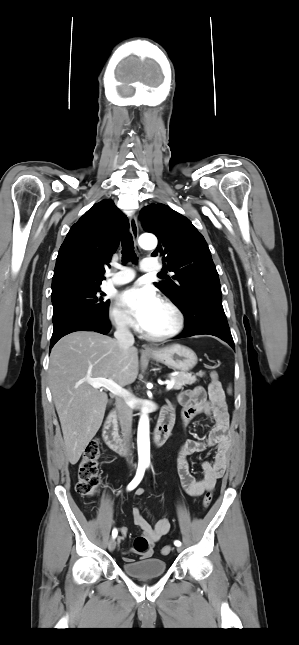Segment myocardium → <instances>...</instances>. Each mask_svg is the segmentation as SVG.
Segmentation results:
<instances>
[{"instance_id": "1", "label": "myocardium", "mask_w": 299, "mask_h": 645, "mask_svg": "<svg viewBox=\"0 0 299 645\" xmlns=\"http://www.w3.org/2000/svg\"><path fill=\"white\" fill-rule=\"evenodd\" d=\"M161 303L173 315L174 323H173V326H172V328L170 330H168L166 332H163V333H157V334L150 333V332L146 331L143 328L142 329V334L147 339L152 340V341H163V340L173 338V337H175V336H177L178 334L181 333V331L183 330L184 325H185L184 315H183L182 311L180 310V308L176 304H174L172 301H170L169 299H166V298H163L161 300Z\"/></svg>"}]
</instances>
